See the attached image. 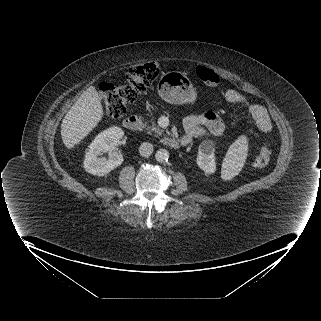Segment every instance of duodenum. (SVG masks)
Wrapping results in <instances>:
<instances>
[{
    "mask_svg": "<svg viewBox=\"0 0 321 321\" xmlns=\"http://www.w3.org/2000/svg\"><path fill=\"white\" fill-rule=\"evenodd\" d=\"M123 125L126 129L131 131H139L143 127V122L138 115H129L123 121ZM162 143L169 148H178L180 141L172 137H164Z\"/></svg>",
    "mask_w": 321,
    "mask_h": 321,
    "instance_id": "1",
    "label": "duodenum"
}]
</instances>
